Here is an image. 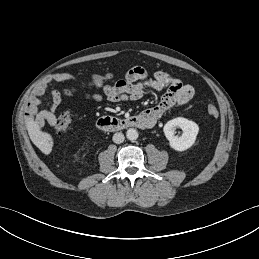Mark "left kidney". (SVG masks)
Masks as SVG:
<instances>
[{
  "label": "left kidney",
  "instance_id": "1",
  "mask_svg": "<svg viewBox=\"0 0 259 259\" xmlns=\"http://www.w3.org/2000/svg\"><path fill=\"white\" fill-rule=\"evenodd\" d=\"M176 127L181 128L183 133L180 137L175 136ZM164 134L169 141L170 147L176 151H185L195 143L199 132L198 125L186 118L178 117L168 121L164 128Z\"/></svg>",
  "mask_w": 259,
  "mask_h": 259
}]
</instances>
